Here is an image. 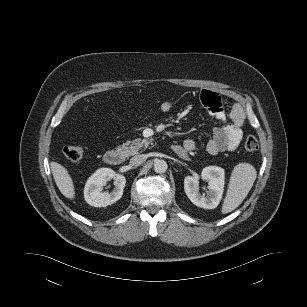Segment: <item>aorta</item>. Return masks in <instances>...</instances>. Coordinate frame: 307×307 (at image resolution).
Segmentation results:
<instances>
[{
    "mask_svg": "<svg viewBox=\"0 0 307 307\" xmlns=\"http://www.w3.org/2000/svg\"><path fill=\"white\" fill-rule=\"evenodd\" d=\"M168 165L164 160H156L154 163V171L156 173H165L167 171Z\"/></svg>",
    "mask_w": 307,
    "mask_h": 307,
    "instance_id": "obj_1",
    "label": "aorta"
}]
</instances>
